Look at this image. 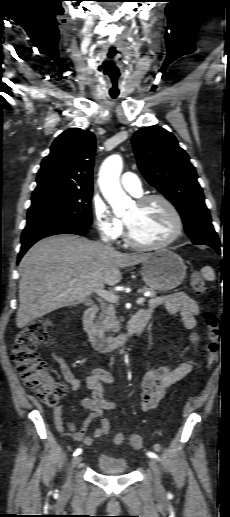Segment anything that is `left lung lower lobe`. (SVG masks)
Segmentation results:
<instances>
[{
	"mask_svg": "<svg viewBox=\"0 0 230 517\" xmlns=\"http://www.w3.org/2000/svg\"><path fill=\"white\" fill-rule=\"evenodd\" d=\"M205 244L212 247L218 254H220L219 242H207Z\"/></svg>",
	"mask_w": 230,
	"mask_h": 517,
	"instance_id": "1",
	"label": "left lung lower lobe"
}]
</instances>
